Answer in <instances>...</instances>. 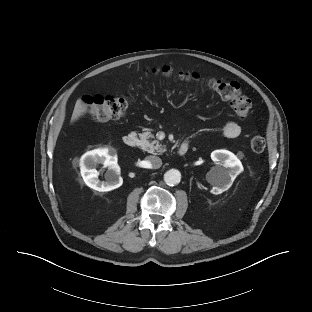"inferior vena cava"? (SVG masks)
<instances>
[{
	"label": "inferior vena cava",
	"mask_w": 312,
	"mask_h": 312,
	"mask_svg": "<svg viewBox=\"0 0 312 312\" xmlns=\"http://www.w3.org/2000/svg\"><path fill=\"white\" fill-rule=\"evenodd\" d=\"M148 166L151 169H158L162 165V160L158 156H148L147 158Z\"/></svg>",
	"instance_id": "1"
}]
</instances>
